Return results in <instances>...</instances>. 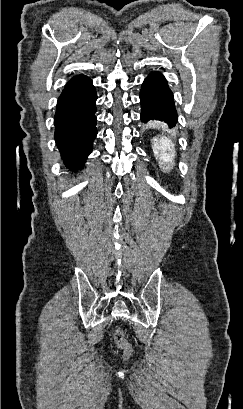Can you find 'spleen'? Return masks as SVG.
I'll return each mask as SVG.
<instances>
[{
	"label": "spleen",
	"instance_id": "1",
	"mask_svg": "<svg viewBox=\"0 0 243 409\" xmlns=\"http://www.w3.org/2000/svg\"><path fill=\"white\" fill-rule=\"evenodd\" d=\"M153 141L154 155L159 160L162 170L168 172L175 157L174 145L166 136L155 137Z\"/></svg>",
	"mask_w": 243,
	"mask_h": 409
}]
</instances>
